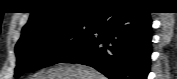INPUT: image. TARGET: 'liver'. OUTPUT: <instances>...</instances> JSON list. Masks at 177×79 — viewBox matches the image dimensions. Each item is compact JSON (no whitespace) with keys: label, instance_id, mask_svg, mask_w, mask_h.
I'll list each match as a JSON object with an SVG mask.
<instances>
[{"label":"liver","instance_id":"1","mask_svg":"<svg viewBox=\"0 0 177 79\" xmlns=\"http://www.w3.org/2000/svg\"><path fill=\"white\" fill-rule=\"evenodd\" d=\"M29 79H106L92 67L81 64H57L54 67L43 69Z\"/></svg>","mask_w":177,"mask_h":79}]
</instances>
